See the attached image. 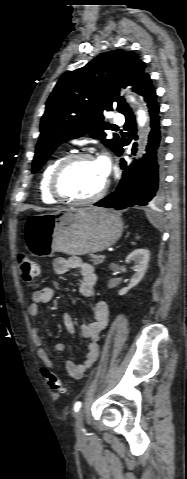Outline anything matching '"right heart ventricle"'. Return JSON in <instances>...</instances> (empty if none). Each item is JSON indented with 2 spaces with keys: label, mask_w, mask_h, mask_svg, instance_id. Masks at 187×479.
<instances>
[{
  "label": "right heart ventricle",
  "mask_w": 187,
  "mask_h": 479,
  "mask_svg": "<svg viewBox=\"0 0 187 479\" xmlns=\"http://www.w3.org/2000/svg\"><path fill=\"white\" fill-rule=\"evenodd\" d=\"M62 158H63V156H57V157L53 158L46 165V167L43 169V171L41 173V176H40V180H39L40 197H41L42 201L47 203V204H54L58 201L57 199H55L52 196V194L50 192V188H49V183H50V178H51V175H52L55 167L61 161Z\"/></svg>",
  "instance_id": "obj_1"
}]
</instances>
